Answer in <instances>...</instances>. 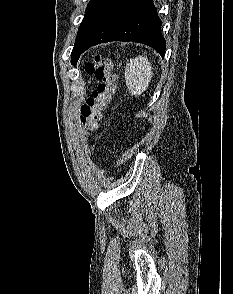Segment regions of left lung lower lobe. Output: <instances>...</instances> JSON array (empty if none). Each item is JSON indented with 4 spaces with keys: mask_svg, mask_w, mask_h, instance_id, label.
I'll return each instance as SVG.
<instances>
[{
    "mask_svg": "<svg viewBox=\"0 0 233 294\" xmlns=\"http://www.w3.org/2000/svg\"><path fill=\"white\" fill-rule=\"evenodd\" d=\"M162 21L152 0H112L84 41L80 54L110 41H133L154 48L164 57Z\"/></svg>",
    "mask_w": 233,
    "mask_h": 294,
    "instance_id": "obj_1",
    "label": "left lung lower lobe"
}]
</instances>
